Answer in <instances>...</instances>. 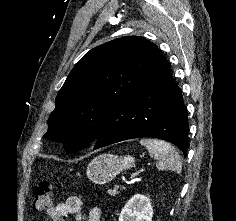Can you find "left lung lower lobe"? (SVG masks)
<instances>
[{
	"label": "left lung lower lobe",
	"instance_id": "1",
	"mask_svg": "<svg viewBox=\"0 0 236 221\" xmlns=\"http://www.w3.org/2000/svg\"><path fill=\"white\" fill-rule=\"evenodd\" d=\"M188 129L181 89L174 82L162 56L108 117L96 138L94 149L127 139L154 137L171 142L186 156Z\"/></svg>",
	"mask_w": 236,
	"mask_h": 221
}]
</instances>
